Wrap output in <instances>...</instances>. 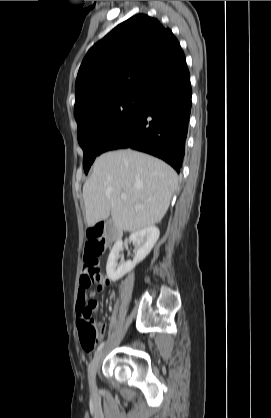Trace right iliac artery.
<instances>
[{
  "instance_id": "right-iliac-artery-1",
  "label": "right iliac artery",
  "mask_w": 271,
  "mask_h": 418,
  "mask_svg": "<svg viewBox=\"0 0 271 418\" xmlns=\"http://www.w3.org/2000/svg\"><path fill=\"white\" fill-rule=\"evenodd\" d=\"M104 345H105V342H102V343L98 346V348H97V350H96L95 354H98V352H100V351L102 350V348L104 347Z\"/></svg>"
}]
</instances>
